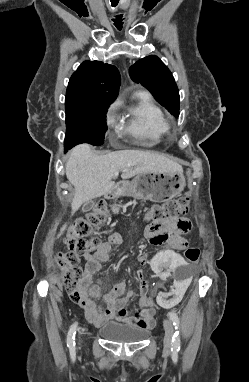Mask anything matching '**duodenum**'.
<instances>
[{
    "mask_svg": "<svg viewBox=\"0 0 249 382\" xmlns=\"http://www.w3.org/2000/svg\"><path fill=\"white\" fill-rule=\"evenodd\" d=\"M118 189L119 187L116 185V186H113L112 188H110L109 190H108V192L106 193V197L107 198H114L113 196H112V193H113V191H114V189Z\"/></svg>",
    "mask_w": 249,
    "mask_h": 382,
    "instance_id": "1",
    "label": "duodenum"
}]
</instances>
